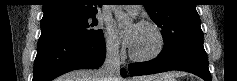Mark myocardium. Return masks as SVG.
<instances>
[{
  "instance_id": "1",
  "label": "myocardium",
  "mask_w": 237,
  "mask_h": 81,
  "mask_svg": "<svg viewBox=\"0 0 237 81\" xmlns=\"http://www.w3.org/2000/svg\"><path fill=\"white\" fill-rule=\"evenodd\" d=\"M139 26L148 27L153 30L157 39V45L151 52L145 55H137L130 49L129 56L132 60L137 61V62H146V61L153 60L156 57H158L164 50L165 37L162 33V30L155 23L151 21L142 20L139 22Z\"/></svg>"
}]
</instances>
